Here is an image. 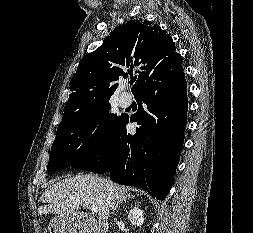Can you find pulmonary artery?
<instances>
[{"label":"pulmonary artery","mask_w":253,"mask_h":233,"mask_svg":"<svg viewBox=\"0 0 253 233\" xmlns=\"http://www.w3.org/2000/svg\"><path fill=\"white\" fill-rule=\"evenodd\" d=\"M131 104V98L127 97V96H122L120 98V105L122 107H128Z\"/></svg>","instance_id":"obj_1"}]
</instances>
